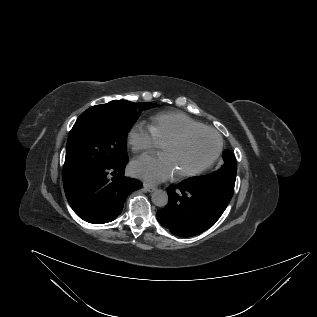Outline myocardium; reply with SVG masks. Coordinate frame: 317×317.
<instances>
[{
	"label": "myocardium",
	"mask_w": 317,
	"mask_h": 317,
	"mask_svg": "<svg viewBox=\"0 0 317 317\" xmlns=\"http://www.w3.org/2000/svg\"><path fill=\"white\" fill-rule=\"evenodd\" d=\"M211 133L217 138V147L213 155L202 165L199 167L185 172H179L177 173V176L179 178H186V177H192L201 174L202 172L206 171L208 168H210L214 162L218 159L220 156L222 149H223V139L222 136L219 134L218 131H216L213 128L210 127H200V128H190L187 130H184L183 132L179 133L178 135L174 136L173 138L167 140L165 143L162 144V148L164 146H172L182 143L184 140H186L188 137H190L193 134L197 133Z\"/></svg>",
	"instance_id": "1"
}]
</instances>
